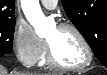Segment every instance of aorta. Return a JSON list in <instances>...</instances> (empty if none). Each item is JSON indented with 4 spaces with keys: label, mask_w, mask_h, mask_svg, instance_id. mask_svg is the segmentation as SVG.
Wrapping results in <instances>:
<instances>
[{
    "label": "aorta",
    "mask_w": 107,
    "mask_h": 75,
    "mask_svg": "<svg viewBox=\"0 0 107 75\" xmlns=\"http://www.w3.org/2000/svg\"><path fill=\"white\" fill-rule=\"evenodd\" d=\"M21 7L28 22L34 27L38 36H45L49 25L44 16L39 0H21Z\"/></svg>",
    "instance_id": "aorta-1"
}]
</instances>
